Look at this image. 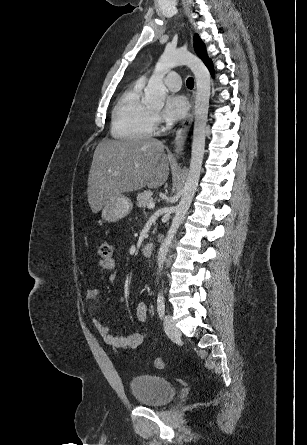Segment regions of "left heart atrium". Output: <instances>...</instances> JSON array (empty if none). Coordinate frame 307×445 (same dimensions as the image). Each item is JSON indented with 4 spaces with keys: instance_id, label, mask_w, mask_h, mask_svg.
<instances>
[{
    "instance_id": "39dd6f15",
    "label": "left heart atrium",
    "mask_w": 307,
    "mask_h": 445,
    "mask_svg": "<svg viewBox=\"0 0 307 445\" xmlns=\"http://www.w3.org/2000/svg\"><path fill=\"white\" fill-rule=\"evenodd\" d=\"M188 112V102L184 96L178 92L170 91L164 99L163 113L167 120H181Z\"/></svg>"
}]
</instances>
